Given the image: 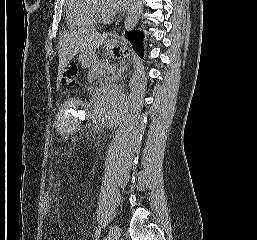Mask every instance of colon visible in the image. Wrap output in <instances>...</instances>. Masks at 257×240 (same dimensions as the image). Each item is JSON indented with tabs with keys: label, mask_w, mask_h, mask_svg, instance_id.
<instances>
[{
	"label": "colon",
	"mask_w": 257,
	"mask_h": 240,
	"mask_svg": "<svg viewBox=\"0 0 257 240\" xmlns=\"http://www.w3.org/2000/svg\"><path fill=\"white\" fill-rule=\"evenodd\" d=\"M77 78H78V69L75 65L68 66L64 70V73L62 75L63 83L68 86H74L77 82ZM52 205H53V198L51 194L47 191L44 196L43 208H42L43 215L45 218L49 216Z\"/></svg>",
	"instance_id": "obj_1"
}]
</instances>
